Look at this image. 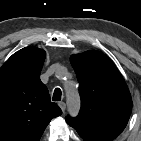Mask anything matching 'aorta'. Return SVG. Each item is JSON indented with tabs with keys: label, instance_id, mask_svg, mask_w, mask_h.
Here are the masks:
<instances>
[{
	"label": "aorta",
	"instance_id": "aorta-1",
	"mask_svg": "<svg viewBox=\"0 0 141 141\" xmlns=\"http://www.w3.org/2000/svg\"><path fill=\"white\" fill-rule=\"evenodd\" d=\"M68 110L72 115H76L80 108L79 95L75 90H67Z\"/></svg>",
	"mask_w": 141,
	"mask_h": 141
}]
</instances>
